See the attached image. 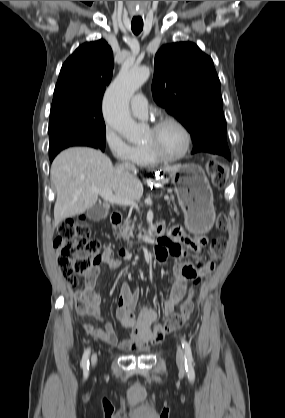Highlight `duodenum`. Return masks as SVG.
Instances as JSON below:
<instances>
[{
    "instance_id": "obj_1",
    "label": "duodenum",
    "mask_w": 285,
    "mask_h": 418,
    "mask_svg": "<svg viewBox=\"0 0 285 418\" xmlns=\"http://www.w3.org/2000/svg\"><path fill=\"white\" fill-rule=\"evenodd\" d=\"M110 222L113 226V228L117 229L120 227L121 223H122V215L119 211H114L111 214V219ZM127 254V251H122V255L125 256Z\"/></svg>"
}]
</instances>
